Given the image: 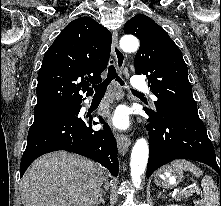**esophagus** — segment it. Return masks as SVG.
<instances>
[{
	"instance_id": "obj_1",
	"label": "esophagus",
	"mask_w": 221,
	"mask_h": 206,
	"mask_svg": "<svg viewBox=\"0 0 221 206\" xmlns=\"http://www.w3.org/2000/svg\"><path fill=\"white\" fill-rule=\"evenodd\" d=\"M112 51L116 62V67L119 72L122 71L125 63V55L121 51L118 45V33L117 31H113L112 33ZM112 89L116 95L117 100L121 99V93H120V87L116 84H112ZM115 138L117 141L118 150L122 155H125L128 151V148L130 146V138L125 135L118 132H115Z\"/></svg>"
}]
</instances>
